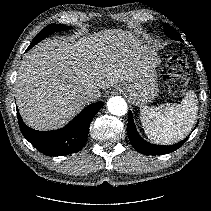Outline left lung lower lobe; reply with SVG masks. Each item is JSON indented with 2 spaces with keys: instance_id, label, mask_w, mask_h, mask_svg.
<instances>
[{
  "instance_id": "0a47b994",
  "label": "left lung lower lobe",
  "mask_w": 211,
  "mask_h": 211,
  "mask_svg": "<svg viewBox=\"0 0 211 211\" xmlns=\"http://www.w3.org/2000/svg\"><path fill=\"white\" fill-rule=\"evenodd\" d=\"M182 40V39H181ZM180 40V41H181ZM127 133L129 136V140L132 144V146L140 153L145 155H162V154H168L170 152H173L177 150L179 147H181L184 142L187 140L184 139L180 143H177L175 145L171 146H162V145H154L150 144L149 142H146L143 140L140 135L138 134L134 121L132 113L129 114V120L127 125Z\"/></svg>"
}]
</instances>
